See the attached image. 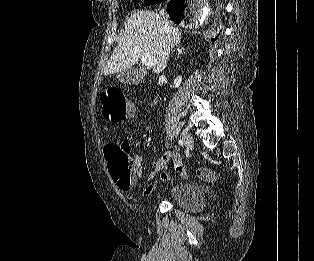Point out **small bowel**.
Listing matches in <instances>:
<instances>
[{"label": "small bowel", "mask_w": 314, "mask_h": 261, "mask_svg": "<svg viewBox=\"0 0 314 261\" xmlns=\"http://www.w3.org/2000/svg\"><path fill=\"white\" fill-rule=\"evenodd\" d=\"M132 113H134V108H132ZM133 165H134V172L136 176H141L142 174V162L143 158L140 154H135L132 157ZM172 163L173 165V171L178 173V174H183L184 169L181 163L180 158L178 157L177 154L167 151L162 157L158 159H154L152 164H153V171L148 175L147 181H151L155 178L156 174L159 171H162L160 175L151 183H149L142 191L143 196H149L155 189L157 183L161 181H168L171 179V173L167 170L168 163Z\"/></svg>", "instance_id": "small-bowel-1"}]
</instances>
